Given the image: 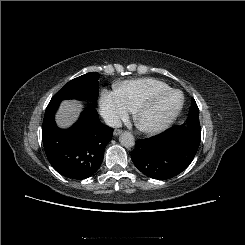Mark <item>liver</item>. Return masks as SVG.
Instances as JSON below:
<instances>
[{
    "instance_id": "obj_1",
    "label": "liver",
    "mask_w": 245,
    "mask_h": 245,
    "mask_svg": "<svg viewBox=\"0 0 245 245\" xmlns=\"http://www.w3.org/2000/svg\"><path fill=\"white\" fill-rule=\"evenodd\" d=\"M81 112V105L76 101H63L56 115V121L62 128L72 125Z\"/></svg>"
}]
</instances>
